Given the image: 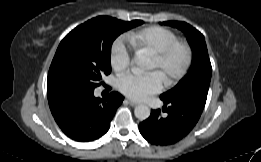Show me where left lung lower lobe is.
<instances>
[{"mask_svg":"<svg viewBox=\"0 0 261 162\" xmlns=\"http://www.w3.org/2000/svg\"><path fill=\"white\" fill-rule=\"evenodd\" d=\"M161 99L167 116L162 117L160 110H152L150 117L139 124V130L148 142L166 146L189 134L198 122L206 101L190 94H180L168 100Z\"/></svg>","mask_w":261,"mask_h":162,"instance_id":"0a47b994","label":"left lung lower lobe"}]
</instances>
